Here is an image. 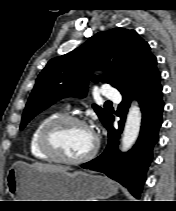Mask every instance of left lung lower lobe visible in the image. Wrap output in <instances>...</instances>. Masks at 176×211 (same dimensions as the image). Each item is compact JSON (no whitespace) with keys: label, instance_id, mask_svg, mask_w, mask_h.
Listing matches in <instances>:
<instances>
[{"label":"left lung lower lobe","instance_id":"left-lung-lower-lobe-1","mask_svg":"<svg viewBox=\"0 0 176 211\" xmlns=\"http://www.w3.org/2000/svg\"><path fill=\"white\" fill-rule=\"evenodd\" d=\"M160 79L158 74L144 85L122 94L123 100L118 107V116L121 118L119 128L113 127L112 116L106 124L109 136L106 150L96 159L81 165L85 169L105 173L127 187L136 198H139L142 191L146 171L152 160L153 146L158 140V131L162 124L164 103ZM133 97L139 100L142 111L140 136L128 153L121 154L118 150L119 138Z\"/></svg>","mask_w":176,"mask_h":211}]
</instances>
